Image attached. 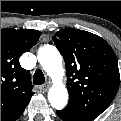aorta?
I'll list each match as a JSON object with an SVG mask.
<instances>
[{
  "label": "aorta",
  "mask_w": 121,
  "mask_h": 121,
  "mask_svg": "<svg viewBox=\"0 0 121 121\" xmlns=\"http://www.w3.org/2000/svg\"><path fill=\"white\" fill-rule=\"evenodd\" d=\"M37 58L53 80V85L48 92V100L53 108L61 110L68 102L67 88L61 82L64 76L61 55L55 46L44 45L39 48Z\"/></svg>",
  "instance_id": "aorta-1"
}]
</instances>
